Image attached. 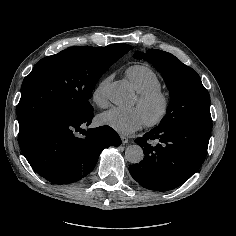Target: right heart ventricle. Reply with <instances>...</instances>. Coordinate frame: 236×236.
<instances>
[{"mask_svg":"<svg viewBox=\"0 0 236 236\" xmlns=\"http://www.w3.org/2000/svg\"><path fill=\"white\" fill-rule=\"evenodd\" d=\"M125 73L138 94L155 92L162 87V81L158 74L147 65H131Z\"/></svg>","mask_w":236,"mask_h":236,"instance_id":"right-heart-ventricle-1","label":"right heart ventricle"}]
</instances>
